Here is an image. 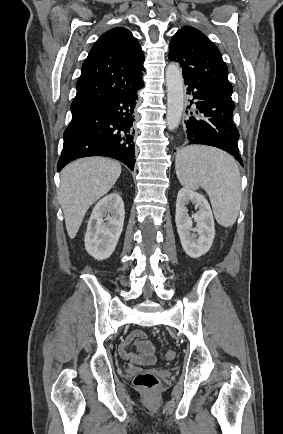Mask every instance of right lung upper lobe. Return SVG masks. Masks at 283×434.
<instances>
[{
  "mask_svg": "<svg viewBox=\"0 0 283 434\" xmlns=\"http://www.w3.org/2000/svg\"><path fill=\"white\" fill-rule=\"evenodd\" d=\"M143 62L141 46L127 29L116 27L101 35L82 65L71 111L139 86Z\"/></svg>",
  "mask_w": 283,
  "mask_h": 434,
  "instance_id": "1",
  "label": "right lung upper lobe"
}]
</instances>
